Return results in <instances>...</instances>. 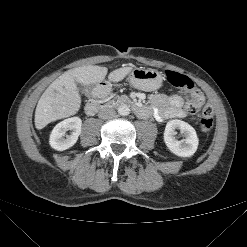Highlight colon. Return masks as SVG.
I'll list each match as a JSON object with an SVG mask.
<instances>
[{"mask_svg": "<svg viewBox=\"0 0 247 247\" xmlns=\"http://www.w3.org/2000/svg\"><path fill=\"white\" fill-rule=\"evenodd\" d=\"M165 77L170 85L190 93L194 98V101L188 103L185 107L188 113H196L201 109L204 97L191 78L171 70L165 72ZM199 125L204 133L211 131L213 127V108L210 105H205L202 108Z\"/></svg>", "mask_w": 247, "mask_h": 247, "instance_id": "1", "label": "colon"}]
</instances>
